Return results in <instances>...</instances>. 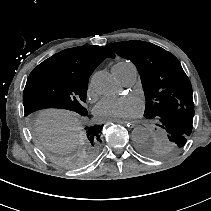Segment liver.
<instances>
[{"label":"liver","mask_w":211,"mask_h":211,"mask_svg":"<svg viewBox=\"0 0 211 211\" xmlns=\"http://www.w3.org/2000/svg\"><path fill=\"white\" fill-rule=\"evenodd\" d=\"M74 112L62 109H46L38 114L35 131L39 141L50 148L58 147L67 152L74 148V136L78 129Z\"/></svg>","instance_id":"6515ba94"}]
</instances>
